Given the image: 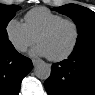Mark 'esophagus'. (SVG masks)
I'll return each instance as SVG.
<instances>
[{"label":"esophagus","mask_w":95,"mask_h":95,"mask_svg":"<svg viewBox=\"0 0 95 95\" xmlns=\"http://www.w3.org/2000/svg\"><path fill=\"white\" fill-rule=\"evenodd\" d=\"M38 62H39L38 59H32V63H33V65H37Z\"/></svg>","instance_id":"1"}]
</instances>
